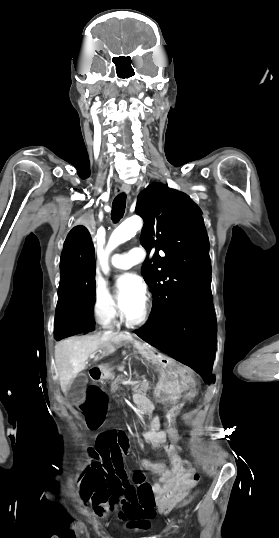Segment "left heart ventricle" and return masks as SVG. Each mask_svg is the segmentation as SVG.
Masks as SVG:
<instances>
[{
  "mask_svg": "<svg viewBox=\"0 0 279 538\" xmlns=\"http://www.w3.org/2000/svg\"><path fill=\"white\" fill-rule=\"evenodd\" d=\"M142 308H143V303L135 302L124 307L123 312L128 317H136L137 315L141 313Z\"/></svg>",
  "mask_w": 279,
  "mask_h": 538,
  "instance_id": "obj_1",
  "label": "left heart ventricle"
}]
</instances>
